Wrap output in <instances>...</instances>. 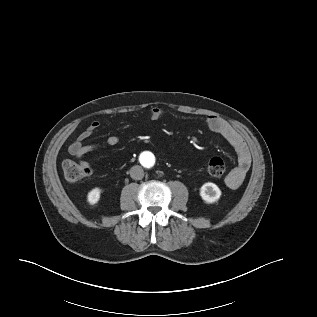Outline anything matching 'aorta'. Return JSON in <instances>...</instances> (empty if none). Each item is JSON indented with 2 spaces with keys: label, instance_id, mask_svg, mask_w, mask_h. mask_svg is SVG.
Listing matches in <instances>:
<instances>
[{
  "label": "aorta",
  "instance_id": "762f6f07",
  "mask_svg": "<svg viewBox=\"0 0 317 317\" xmlns=\"http://www.w3.org/2000/svg\"><path fill=\"white\" fill-rule=\"evenodd\" d=\"M140 161L142 163V165L146 168H153L154 166V157L153 155L151 154H143L141 157H140Z\"/></svg>",
  "mask_w": 317,
  "mask_h": 317
}]
</instances>
